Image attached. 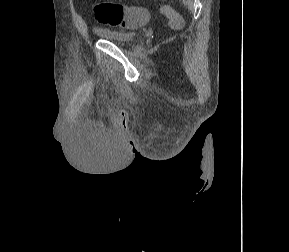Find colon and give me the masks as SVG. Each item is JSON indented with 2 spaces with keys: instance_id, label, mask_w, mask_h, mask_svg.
<instances>
[{
  "instance_id": "1",
  "label": "colon",
  "mask_w": 289,
  "mask_h": 252,
  "mask_svg": "<svg viewBox=\"0 0 289 252\" xmlns=\"http://www.w3.org/2000/svg\"><path fill=\"white\" fill-rule=\"evenodd\" d=\"M161 12L167 16L175 27L182 25V18L169 6L162 5ZM93 13L98 22L111 26L133 28L150 19V12L143 7H129L111 2H99L93 8Z\"/></svg>"
}]
</instances>
